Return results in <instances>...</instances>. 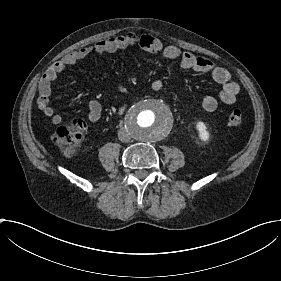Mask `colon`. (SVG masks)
Segmentation results:
<instances>
[{
	"mask_svg": "<svg viewBox=\"0 0 281 281\" xmlns=\"http://www.w3.org/2000/svg\"><path fill=\"white\" fill-rule=\"evenodd\" d=\"M229 123L233 126H241L244 121V114L241 110H231L228 115ZM87 123L84 119H77L69 125L60 127L55 135V143L61 147L67 156H73L80 150L84 134L87 131Z\"/></svg>",
	"mask_w": 281,
	"mask_h": 281,
	"instance_id": "5ec220e1",
	"label": "colon"
}]
</instances>
